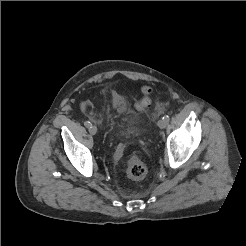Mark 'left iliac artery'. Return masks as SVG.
<instances>
[{"label": "left iliac artery", "instance_id": "obj_1", "mask_svg": "<svg viewBox=\"0 0 246 246\" xmlns=\"http://www.w3.org/2000/svg\"><path fill=\"white\" fill-rule=\"evenodd\" d=\"M162 119H163L165 122H169V116H168V115L163 116Z\"/></svg>", "mask_w": 246, "mask_h": 246}]
</instances>
